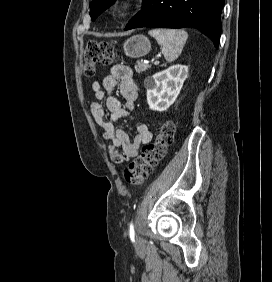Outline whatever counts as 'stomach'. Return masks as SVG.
I'll return each instance as SVG.
<instances>
[{
    "label": "stomach",
    "mask_w": 272,
    "mask_h": 282,
    "mask_svg": "<svg viewBox=\"0 0 272 282\" xmlns=\"http://www.w3.org/2000/svg\"><path fill=\"white\" fill-rule=\"evenodd\" d=\"M150 49L151 43L144 35H134L127 39L123 44L125 55L132 58L142 57L148 54Z\"/></svg>",
    "instance_id": "stomach-1"
}]
</instances>
